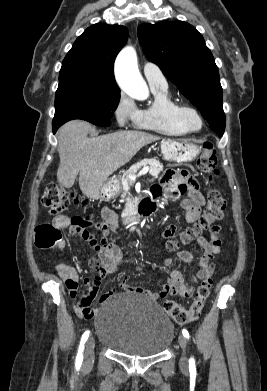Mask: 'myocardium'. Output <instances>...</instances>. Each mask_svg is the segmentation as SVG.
<instances>
[{
    "instance_id": "1",
    "label": "myocardium",
    "mask_w": 267,
    "mask_h": 391,
    "mask_svg": "<svg viewBox=\"0 0 267 391\" xmlns=\"http://www.w3.org/2000/svg\"><path fill=\"white\" fill-rule=\"evenodd\" d=\"M189 114L194 115L198 119V126H192L187 117ZM176 116L181 124L190 132H198L204 126V118L198 108L189 103H179L176 107Z\"/></svg>"
}]
</instances>
